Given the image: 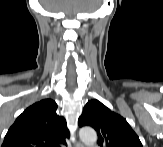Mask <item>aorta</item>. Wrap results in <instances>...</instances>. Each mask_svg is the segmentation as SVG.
Here are the masks:
<instances>
[{"label":"aorta","mask_w":163,"mask_h":147,"mask_svg":"<svg viewBox=\"0 0 163 147\" xmlns=\"http://www.w3.org/2000/svg\"><path fill=\"white\" fill-rule=\"evenodd\" d=\"M82 142L87 146H92L97 141V134L91 127H83L79 131Z\"/></svg>","instance_id":"1"}]
</instances>
